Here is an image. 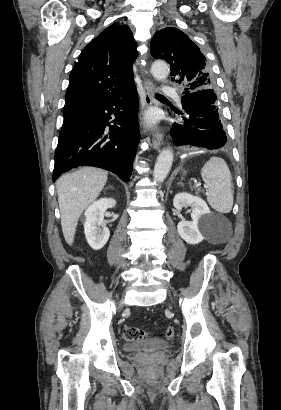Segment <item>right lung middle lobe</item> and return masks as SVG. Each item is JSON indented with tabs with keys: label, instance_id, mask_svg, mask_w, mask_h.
I'll use <instances>...</instances> for the list:
<instances>
[{
	"label": "right lung middle lobe",
	"instance_id": "dd1d6c3e",
	"mask_svg": "<svg viewBox=\"0 0 281 410\" xmlns=\"http://www.w3.org/2000/svg\"><path fill=\"white\" fill-rule=\"evenodd\" d=\"M82 110L83 109H80V108L64 109L63 110L64 121L73 118L75 115L80 113Z\"/></svg>",
	"mask_w": 281,
	"mask_h": 410
}]
</instances>
